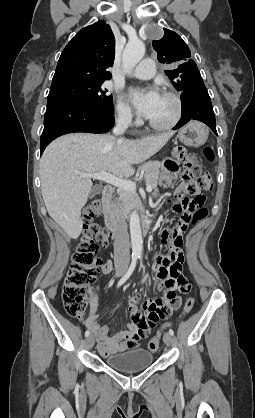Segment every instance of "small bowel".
Listing matches in <instances>:
<instances>
[{
  "label": "small bowel",
  "instance_id": "small-bowel-1",
  "mask_svg": "<svg viewBox=\"0 0 255 418\" xmlns=\"http://www.w3.org/2000/svg\"><path fill=\"white\" fill-rule=\"evenodd\" d=\"M191 156L186 147H175L173 160L165 163L162 175V184L169 185L179 169V163H190ZM185 187L176 191L181 197L186 193ZM177 206H174V209ZM188 224L181 222L177 227L166 228L160 238L155 240L157 245L162 242L167 247L159 249L153 265V274L157 280L158 288L163 289L162 297L147 298L143 301L145 314L136 311L134 302L128 305V311L133 315V322L113 335H108V327L98 323V294L95 289L90 293V311L86 325L93 331L98 343V349L103 357L122 353L136 348L141 339L148 336L159 320H171L175 311L182 309L183 302L191 292L190 276L183 274V242ZM112 270V261L106 260L102 266L104 274Z\"/></svg>",
  "mask_w": 255,
  "mask_h": 418
}]
</instances>
